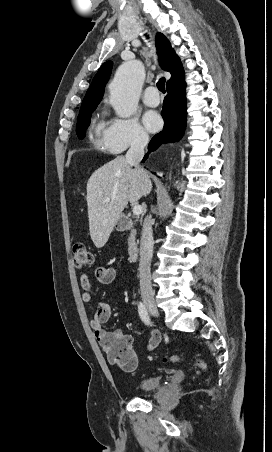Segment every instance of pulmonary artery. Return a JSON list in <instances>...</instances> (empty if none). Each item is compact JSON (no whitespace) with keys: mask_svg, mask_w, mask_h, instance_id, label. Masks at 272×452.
<instances>
[{"mask_svg":"<svg viewBox=\"0 0 272 452\" xmlns=\"http://www.w3.org/2000/svg\"><path fill=\"white\" fill-rule=\"evenodd\" d=\"M143 102L150 106L155 107L160 103V97L157 93V89L154 86H148L143 94Z\"/></svg>","mask_w":272,"mask_h":452,"instance_id":"1","label":"pulmonary artery"}]
</instances>
